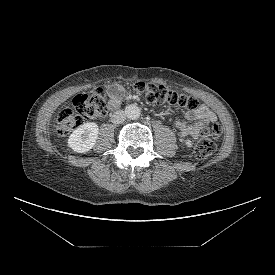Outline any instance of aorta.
I'll list each match as a JSON object with an SVG mask.
<instances>
[{
	"mask_svg": "<svg viewBox=\"0 0 275 275\" xmlns=\"http://www.w3.org/2000/svg\"><path fill=\"white\" fill-rule=\"evenodd\" d=\"M124 112L126 117L131 120L138 119L141 114V110L136 104L127 105Z\"/></svg>",
	"mask_w": 275,
	"mask_h": 275,
	"instance_id": "1",
	"label": "aorta"
}]
</instances>
